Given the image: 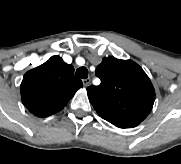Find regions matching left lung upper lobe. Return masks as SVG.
<instances>
[{
  "instance_id": "5c2ea615",
  "label": "left lung upper lobe",
  "mask_w": 181,
  "mask_h": 164,
  "mask_svg": "<svg viewBox=\"0 0 181 164\" xmlns=\"http://www.w3.org/2000/svg\"><path fill=\"white\" fill-rule=\"evenodd\" d=\"M95 74L99 86L87 88L88 98L97 113L119 128H132L150 113L154 87L143 69L131 60L104 58Z\"/></svg>"
}]
</instances>
